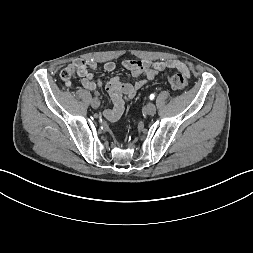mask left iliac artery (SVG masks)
<instances>
[{
	"label": "left iliac artery",
	"mask_w": 253,
	"mask_h": 253,
	"mask_svg": "<svg viewBox=\"0 0 253 253\" xmlns=\"http://www.w3.org/2000/svg\"><path fill=\"white\" fill-rule=\"evenodd\" d=\"M155 98V95L154 94H151L150 95V99L152 100V99H154Z\"/></svg>",
	"instance_id": "44dca946"
}]
</instances>
